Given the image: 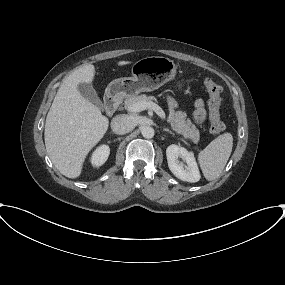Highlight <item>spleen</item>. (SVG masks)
I'll list each match as a JSON object with an SVG mask.
<instances>
[{"label": "spleen", "instance_id": "1", "mask_svg": "<svg viewBox=\"0 0 285 285\" xmlns=\"http://www.w3.org/2000/svg\"><path fill=\"white\" fill-rule=\"evenodd\" d=\"M233 136L223 133L199 152L198 161L206 180L212 181L220 176L231 155Z\"/></svg>", "mask_w": 285, "mask_h": 285}]
</instances>
